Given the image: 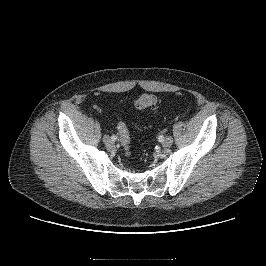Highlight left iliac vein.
Instances as JSON below:
<instances>
[{"label":"left iliac vein","mask_w":266,"mask_h":266,"mask_svg":"<svg viewBox=\"0 0 266 266\" xmlns=\"http://www.w3.org/2000/svg\"><path fill=\"white\" fill-rule=\"evenodd\" d=\"M172 143H173V138L171 136H166L162 141V145L164 147H169L170 145H172Z\"/></svg>","instance_id":"obj_1"}]
</instances>
